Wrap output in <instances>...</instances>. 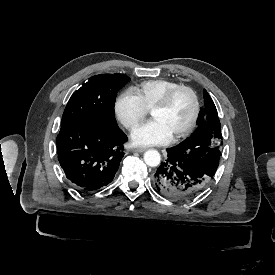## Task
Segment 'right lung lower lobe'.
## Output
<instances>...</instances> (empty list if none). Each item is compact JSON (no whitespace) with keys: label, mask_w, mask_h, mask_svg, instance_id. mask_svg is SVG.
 <instances>
[{"label":"right lung lower lobe","mask_w":275,"mask_h":275,"mask_svg":"<svg viewBox=\"0 0 275 275\" xmlns=\"http://www.w3.org/2000/svg\"><path fill=\"white\" fill-rule=\"evenodd\" d=\"M126 141L119 127L101 130L84 122H65L56 139L58 160L76 189L92 192L113 180Z\"/></svg>","instance_id":"right-lung-lower-lobe-1"}]
</instances>
